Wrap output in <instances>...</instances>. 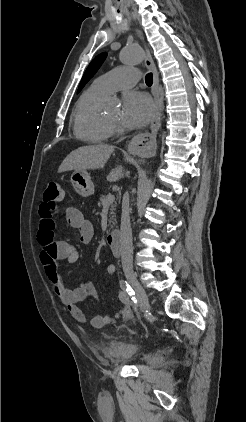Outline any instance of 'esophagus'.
Segmentation results:
<instances>
[{
  "label": "esophagus",
  "instance_id": "obj_1",
  "mask_svg": "<svg viewBox=\"0 0 246 422\" xmlns=\"http://www.w3.org/2000/svg\"><path fill=\"white\" fill-rule=\"evenodd\" d=\"M139 34V33H138ZM141 40L143 38L139 34ZM145 54V65L153 73V86L152 93L155 101V112L150 125V132L143 133L135 136L129 146L128 151L131 154L146 156L155 153L156 150V136L161 127V102L159 97V76L158 71L151 56L149 49L144 45Z\"/></svg>",
  "mask_w": 246,
  "mask_h": 422
}]
</instances>
